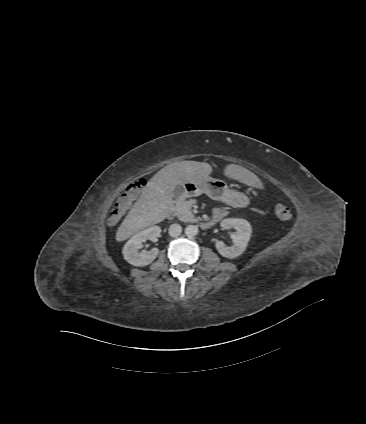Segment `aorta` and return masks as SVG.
<instances>
[{
  "label": "aorta",
  "mask_w": 366,
  "mask_h": 424,
  "mask_svg": "<svg viewBox=\"0 0 366 424\" xmlns=\"http://www.w3.org/2000/svg\"><path fill=\"white\" fill-rule=\"evenodd\" d=\"M185 234L188 237H193L196 236L198 234V228L195 225H188L185 228Z\"/></svg>",
  "instance_id": "obj_1"
}]
</instances>
